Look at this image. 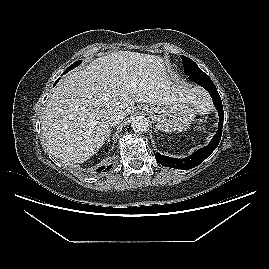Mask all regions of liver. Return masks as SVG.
Listing matches in <instances>:
<instances>
[{
    "instance_id": "6515ba94",
    "label": "liver",
    "mask_w": 269,
    "mask_h": 269,
    "mask_svg": "<svg viewBox=\"0 0 269 269\" xmlns=\"http://www.w3.org/2000/svg\"><path fill=\"white\" fill-rule=\"evenodd\" d=\"M135 103H190L199 113L210 107L200 87L175 84L159 56L112 52L70 72L54 88L42 120L48 151L67 165L87 161L110 135L109 114L129 115Z\"/></svg>"
}]
</instances>
